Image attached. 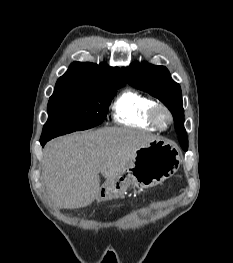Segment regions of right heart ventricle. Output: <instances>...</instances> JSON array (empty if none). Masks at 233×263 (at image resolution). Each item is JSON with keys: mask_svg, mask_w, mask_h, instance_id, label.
<instances>
[{"mask_svg": "<svg viewBox=\"0 0 233 263\" xmlns=\"http://www.w3.org/2000/svg\"><path fill=\"white\" fill-rule=\"evenodd\" d=\"M155 103L151 97L139 91L124 90L112 105L113 120L121 125L156 131L157 128L149 120V111Z\"/></svg>", "mask_w": 233, "mask_h": 263, "instance_id": "obj_1", "label": "right heart ventricle"}]
</instances>
